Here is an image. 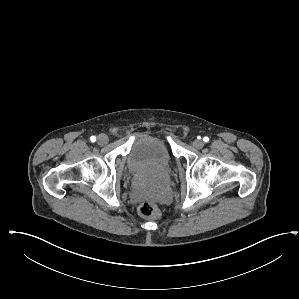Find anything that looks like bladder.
<instances>
[{"instance_id": "1", "label": "bladder", "mask_w": 299, "mask_h": 299, "mask_svg": "<svg viewBox=\"0 0 299 299\" xmlns=\"http://www.w3.org/2000/svg\"><path fill=\"white\" fill-rule=\"evenodd\" d=\"M172 153L164 140L153 135L139 136L128 155L127 168L131 174H159L172 164Z\"/></svg>"}]
</instances>
